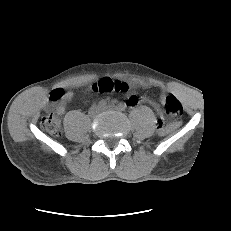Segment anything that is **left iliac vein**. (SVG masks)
Masks as SVG:
<instances>
[{
	"label": "left iliac vein",
	"mask_w": 231,
	"mask_h": 231,
	"mask_svg": "<svg viewBox=\"0 0 231 231\" xmlns=\"http://www.w3.org/2000/svg\"><path fill=\"white\" fill-rule=\"evenodd\" d=\"M117 108L113 105H109L107 107H104L102 110H116Z\"/></svg>",
	"instance_id": "4c4485c4"
}]
</instances>
